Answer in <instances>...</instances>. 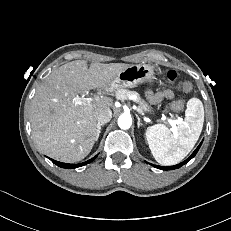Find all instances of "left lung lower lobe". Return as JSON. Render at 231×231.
<instances>
[{
	"mask_svg": "<svg viewBox=\"0 0 231 231\" xmlns=\"http://www.w3.org/2000/svg\"><path fill=\"white\" fill-rule=\"evenodd\" d=\"M201 144H202V142L196 148V150L191 154V156L188 159H186L185 161L181 162L180 164H177V165L171 166V167H163V166H157V165H152V164L151 165L158 168V169H161V170H174V169H177V168L183 166L184 164H186L189 160H191L197 154Z\"/></svg>",
	"mask_w": 231,
	"mask_h": 231,
	"instance_id": "left-lung-lower-lobe-1",
	"label": "left lung lower lobe"
}]
</instances>
